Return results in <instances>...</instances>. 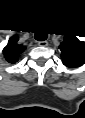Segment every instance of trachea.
<instances>
[{
	"label": "trachea",
	"instance_id": "1",
	"mask_svg": "<svg viewBox=\"0 0 85 118\" xmlns=\"http://www.w3.org/2000/svg\"><path fill=\"white\" fill-rule=\"evenodd\" d=\"M36 39L38 41H44V40H46V37L44 36V34L38 33Z\"/></svg>",
	"mask_w": 85,
	"mask_h": 118
}]
</instances>
